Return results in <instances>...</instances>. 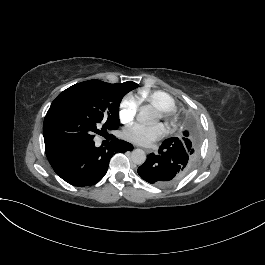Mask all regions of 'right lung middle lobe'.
Returning <instances> with one entry per match:
<instances>
[{
    "instance_id": "dd1d6c3e",
    "label": "right lung middle lobe",
    "mask_w": 265,
    "mask_h": 265,
    "mask_svg": "<svg viewBox=\"0 0 265 265\" xmlns=\"http://www.w3.org/2000/svg\"><path fill=\"white\" fill-rule=\"evenodd\" d=\"M137 86L88 80L61 92L44 119L45 149L64 142L93 139L94 133L117 129L120 102Z\"/></svg>"
}]
</instances>
